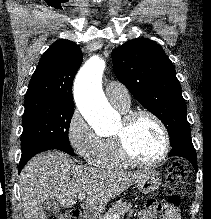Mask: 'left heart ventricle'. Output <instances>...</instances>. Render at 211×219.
<instances>
[{
  "label": "left heart ventricle",
  "instance_id": "1",
  "mask_svg": "<svg viewBox=\"0 0 211 219\" xmlns=\"http://www.w3.org/2000/svg\"><path fill=\"white\" fill-rule=\"evenodd\" d=\"M122 127V123L116 133ZM127 143L131 153L139 160L152 161L163 149V136L158 125L150 117L141 116L131 126Z\"/></svg>",
  "mask_w": 211,
  "mask_h": 219
}]
</instances>
